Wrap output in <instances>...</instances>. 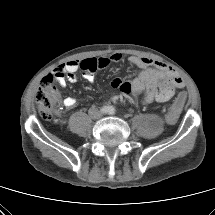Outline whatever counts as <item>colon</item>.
Masks as SVG:
<instances>
[{
  "label": "colon",
  "instance_id": "5ec220e1",
  "mask_svg": "<svg viewBox=\"0 0 215 215\" xmlns=\"http://www.w3.org/2000/svg\"><path fill=\"white\" fill-rule=\"evenodd\" d=\"M54 78L52 76H47L43 80L42 87L36 93V102L38 105L39 112L45 120H51L53 117V112L58 104L59 96L58 92L54 87ZM185 97L183 95L179 96L175 103L173 104L171 112L166 116V122L169 124L174 123L178 114L181 110L182 104Z\"/></svg>",
  "mask_w": 215,
  "mask_h": 215
}]
</instances>
